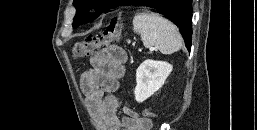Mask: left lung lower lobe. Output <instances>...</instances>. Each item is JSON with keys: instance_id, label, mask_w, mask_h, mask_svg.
<instances>
[{"instance_id": "1", "label": "left lung lower lobe", "mask_w": 257, "mask_h": 130, "mask_svg": "<svg viewBox=\"0 0 257 130\" xmlns=\"http://www.w3.org/2000/svg\"><path fill=\"white\" fill-rule=\"evenodd\" d=\"M135 4L150 7L171 20L179 27L187 49H191L192 0H139Z\"/></svg>"}]
</instances>
